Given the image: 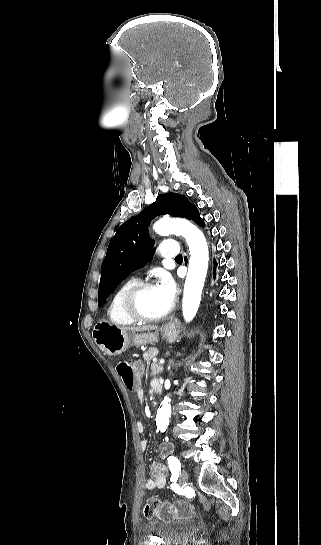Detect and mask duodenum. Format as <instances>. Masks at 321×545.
Wrapping results in <instances>:
<instances>
[{"instance_id": "duodenum-1", "label": "duodenum", "mask_w": 321, "mask_h": 545, "mask_svg": "<svg viewBox=\"0 0 321 545\" xmlns=\"http://www.w3.org/2000/svg\"><path fill=\"white\" fill-rule=\"evenodd\" d=\"M154 390H155L157 393H159L160 390H161V386H160V385L155 386Z\"/></svg>"}]
</instances>
